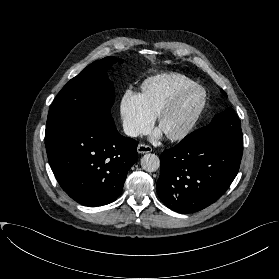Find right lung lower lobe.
Instances as JSON below:
<instances>
[{"mask_svg": "<svg viewBox=\"0 0 279 279\" xmlns=\"http://www.w3.org/2000/svg\"><path fill=\"white\" fill-rule=\"evenodd\" d=\"M45 145L62 189L86 206L115 201L137 161L138 142L120 135L105 110L88 112L46 135Z\"/></svg>", "mask_w": 279, "mask_h": 279, "instance_id": "98d812e1", "label": "right lung lower lobe"}]
</instances>
